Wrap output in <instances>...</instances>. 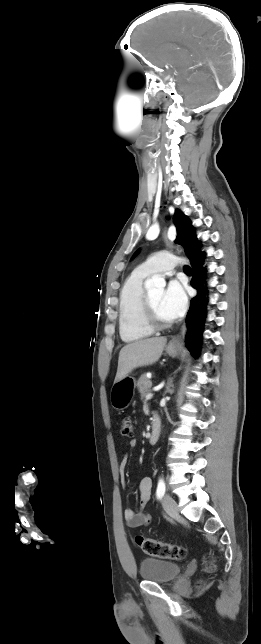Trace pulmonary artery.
I'll list each match as a JSON object with an SVG mask.
<instances>
[{
  "label": "pulmonary artery",
  "instance_id": "1",
  "mask_svg": "<svg viewBox=\"0 0 261 644\" xmlns=\"http://www.w3.org/2000/svg\"><path fill=\"white\" fill-rule=\"evenodd\" d=\"M183 263V259L169 252H160L142 263L138 269L148 275L153 273H168Z\"/></svg>",
  "mask_w": 261,
  "mask_h": 644
}]
</instances>
